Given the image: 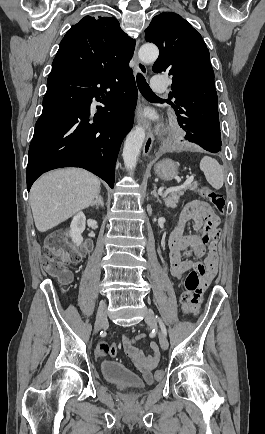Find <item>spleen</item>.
Instances as JSON below:
<instances>
[{
	"label": "spleen",
	"instance_id": "1",
	"mask_svg": "<svg viewBox=\"0 0 265 434\" xmlns=\"http://www.w3.org/2000/svg\"><path fill=\"white\" fill-rule=\"evenodd\" d=\"M200 170L204 172L205 178L212 188H215V190L222 188L224 182L223 170L217 160L204 156L200 162Z\"/></svg>",
	"mask_w": 265,
	"mask_h": 434
}]
</instances>
